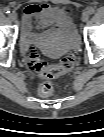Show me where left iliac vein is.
<instances>
[{
	"label": "left iliac vein",
	"instance_id": "obj_1",
	"mask_svg": "<svg viewBox=\"0 0 104 137\" xmlns=\"http://www.w3.org/2000/svg\"><path fill=\"white\" fill-rule=\"evenodd\" d=\"M89 19V13L87 11L83 12L82 14V21L87 22Z\"/></svg>",
	"mask_w": 104,
	"mask_h": 137
}]
</instances>
